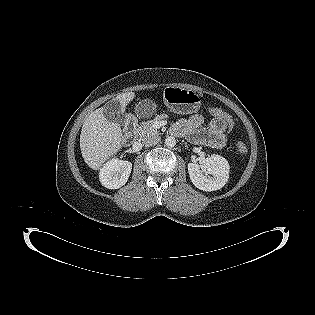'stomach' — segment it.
<instances>
[{"instance_id":"stomach-1","label":"stomach","mask_w":315,"mask_h":315,"mask_svg":"<svg viewBox=\"0 0 315 315\" xmlns=\"http://www.w3.org/2000/svg\"><path fill=\"white\" fill-rule=\"evenodd\" d=\"M163 100L168 109L178 114H192L199 110L200 96L190 89L168 86L163 92Z\"/></svg>"}]
</instances>
